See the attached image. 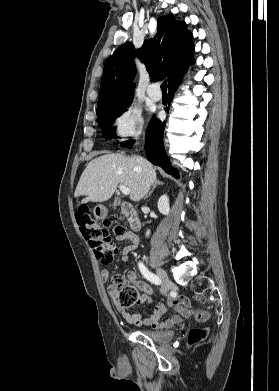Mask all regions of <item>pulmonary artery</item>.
Listing matches in <instances>:
<instances>
[{
  "instance_id": "pulmonary-artery-1",
  "label": "pulmonary artery",
  "mask_w": 279,
  "mask_h": 391,
  "mask_svg": "<svg viewBox=\"0 0 279 391\" xmlns=\"http://www.w3.org/2000/svg\"><path fill=\"white\" fill-rule=\"evenodd\" d=\"M148 96L153 100V101H159L162 98V94L160 90H158L156 84H151L148 87L147 90Z\"/></svg>"
}]
</instances>
